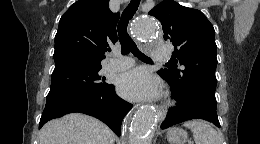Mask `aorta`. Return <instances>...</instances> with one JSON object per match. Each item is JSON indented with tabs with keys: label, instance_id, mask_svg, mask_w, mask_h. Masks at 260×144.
Masks as SVG:
<instances>
[{
	"label": "aorta",
	"instance_id": "aorta-1",
	"mask_svg": "<svg viewBox=\"0 0 260 144\" xmlns=\"http://www.w3.org/2000/svg\"><path fill=\"white\" fill-rule=\"evenodd\" d=\"M138 40L157 38V24L152 18H139L133 25ZM156 113L152 107H142L132 113L126 121L128 144H151Z\"/></svg>",
	"mask_w": 260,
	"mask_h": 144
}]
</instances>
